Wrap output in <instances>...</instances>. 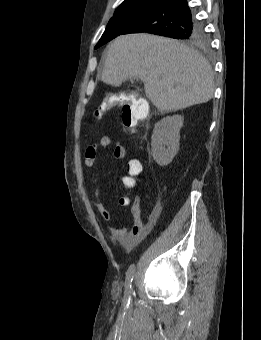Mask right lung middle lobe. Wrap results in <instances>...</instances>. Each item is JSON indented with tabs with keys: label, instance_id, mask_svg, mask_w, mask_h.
I'll list each match as a JSON object with an SVG mask.
<instances>
[{
	"label": "right lung middle lobe",
	"instance_id": "1",
	"mask_svg": "<svg viewBox=\"0 0 261 340\" xmlns=\"http://www.w3.org/2000/svg\"><path fill=\"white\" fill-rule=\"evenodd\" d=\"M158 5L157 2H135L121 5L110 19L105 32L95 48L107 43L113 38L122 34L138 19L144 16ZM172 38L184 40L190 44L198 46H206L208 43L207 35L205 34L202 25L197 22L194 27L184 33L175 34Z\"/></svg>",
	"mask_w": 261,
	"mask_h": 340
}]
</instances>
